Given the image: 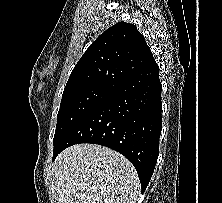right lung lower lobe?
<instances>
[{
  "label": "right lung lower lobe",
  "mask_w": 222,
  "mask_h": 203,
  "mask_svg": "<svg viewBox=\"0 0 222 203\" xmlns=\"http://www.w3.org/2000/svg\"><path fill=\"white\" fill-rule=\"evenodd\" d=\"M161 90L159 67L153 62L123 81L103 102L75 122L54 143L53 159L74 144L109 147L134 165L143 193L159 153Z\"/></svg>",
  "instance_id": "right-lung-lower-lobe-1"
}]
</instances>
